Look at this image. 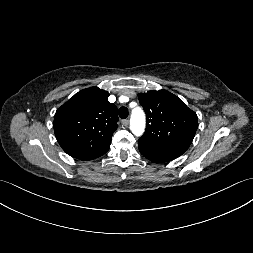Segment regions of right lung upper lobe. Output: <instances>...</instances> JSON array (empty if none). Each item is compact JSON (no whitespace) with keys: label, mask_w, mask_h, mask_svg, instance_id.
Wrapping results in <instances>:
<instances>
[{"label":"right lung upper lobe","mask_w":253,"mask_h":253,"mask_svg":"<svg viewBox=\"0 0 253 253\" xmlns=\"http://www.w3.org/2000/svg\"><path fill=\"white\" fill-rule=\"evenodd\" d=\"M109 93L91 87L76 93L56 111L53 127L62 149L74 158L110 146L117 129V107Z\"/></svg>","instance_id":"1"}]
</instances>
